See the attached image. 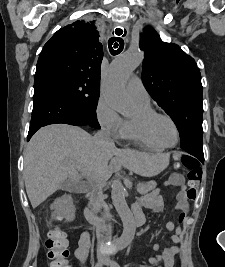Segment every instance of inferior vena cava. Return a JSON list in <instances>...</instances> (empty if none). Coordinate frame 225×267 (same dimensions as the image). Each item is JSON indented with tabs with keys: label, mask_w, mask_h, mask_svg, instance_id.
<instances>
[{
	"label": "inferior vena cava",
	"mask_w": 225,
	"mask_h": 267,
	"mask_svg": "<svg viewBox=\"0 0 225 267\" xmlns=\"http://www.w3.org/2000/svg\"><path fill=\"white\" fill-rule=\"evenodd\" d=\"M94 140L103 146H112L114 145L113 139L108 131L102 129L98 131ZM106 176L103 172H99L95 178V185L93 191L92 200L95 203V212H99L100 209L104 206L103 194H102V186L106 181Z\"/></svg>",
	"instance_id": "602c4592"
}]
</instances>
